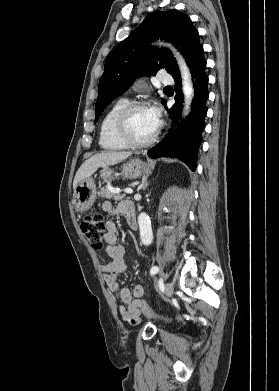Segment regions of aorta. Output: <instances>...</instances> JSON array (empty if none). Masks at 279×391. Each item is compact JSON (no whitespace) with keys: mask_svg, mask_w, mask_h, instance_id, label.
Masks as SVG:
<instances>
[{"mask_svg":"<svg viewBox=\"0 0 279 391\" xmlns=\"http://www.w3.org/2000/svg\"><path fill=\"white\" fill-rule=\"evenodd\" d=\"M176 57L178 60V64L181 71V77H182V89L184 94V114H187L189 111V107L191 104V101L194 96V89L191 82V76L189 69L183 60V58L176 53ZM138 223L140 228V238L144 245H150L153 240V234H152V228H151V222L149 219V216L146 213H140L138 216Z\"/></svg>","mask_w":279,"mask_h":391,"instance_id":"obj_1","label":"aorta"}]
</instances>
